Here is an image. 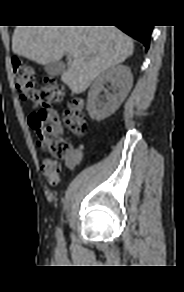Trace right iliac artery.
<instances>
[{
    "label": "right iliac artery",
    "mask_w": 184,
    "mask_h": 292,
    "mask_svg": "<svg viewBox=\"0 0 184 292\" xmlns=\"http://www.w3.org/2000/svg\"><path fill=\"white\" fill-rule=\"evenodd\" d=\"M57 235H58L59 238H62V230L61 229H58Z\"/></svg>",
    "instance_id": "obj_1"
}]
</instances>
